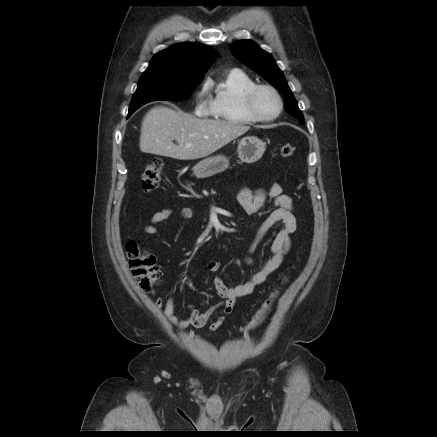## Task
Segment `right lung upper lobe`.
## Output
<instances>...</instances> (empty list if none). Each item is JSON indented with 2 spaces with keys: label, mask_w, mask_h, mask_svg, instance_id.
I'll use <instances>...</instances> for the list:
<instances>
[{
  "label": "right lung upper lobe",
  "mask_w": 437,
  "mask_h": 437,
  "mask_svg": "<svg viewBox=\"0 0 437 437\" xmlns=\"http://www.w3.org/2000/svg\"><path fill=\"white\" fill-rule=\"evenodd\" d=\"M218 53L198 43H180L154 55L145 72L163 71L184 79H203Z\"/></svg>",
  "instance_id": "right-lung-upper-lobe-1"
}]
</instances>
